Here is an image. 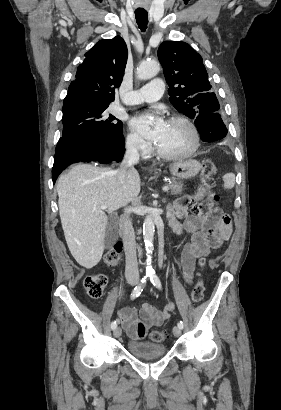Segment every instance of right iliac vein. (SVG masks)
I'll use <instances>...</instances> for the list:
<instances>
[{"mask_svg":"<svg viewBox=\"0 0 281 410\" xmlns=\"http://www.w3.org/2000/svg\"><path fill=\"white\" fill-rule=\"evenodd\" d=\"M131 285H134V283L132 282ZM121 333H122L121 328L117 327L114 329L113 335L114 337L118 338L121 336Z\"/></svg>","mask_w":281,"mask_h":410,"instance_id":"right-iliac-vein-1","label":"right iliac vein"}]
</instances>
